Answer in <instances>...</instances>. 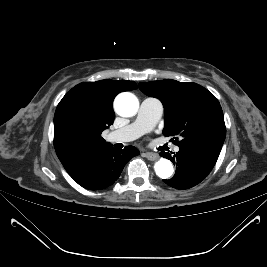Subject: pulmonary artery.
<instances>
[{"label": "pulmonary artery", "instance_id": "1", "mask_svg": "<svg viewBox=\"0 0 267 267\" xmlns=\"http://www.w3.org/2000/svg\"><path fill=\"white\" fill-rule=\"evenodd\" d=\"M163 114V105L156 98H146L141 102L136 119L129 125L115 130L109 134L111 142L133 141L145 133L151 131ZM174 152L179 147H174Z\"/></svg>", "mask_w": 267, "mask_h": 267}]
</instances>
